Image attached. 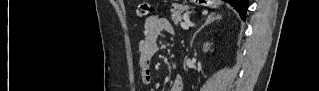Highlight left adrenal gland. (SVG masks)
Returning <instances> with one entry per match:
<instances>
[{
    "instance_id": "obj_1",
    "label": "left adrenal gland",
    "mask_w": 319,
    "mask_h": 91,
    "mask_svg": "<svg viewBox=\"0 0 319 91\" xmlns=\"http://www.w3.org/2000/svg\"><path fill=\"white\" fill-rule=\"evenodd\" d=\"M221 19V16L220 15H216L215 13H211L210 15H208V17L206 18V21L205 23L200 27L198 28V30L194 33L192 39H191V42H190V46H192V43H193V40L195 39L196 35L205 27L207 26L208 24L214 22L215 20H220Z\"/></svg>"
}]
</instances>
